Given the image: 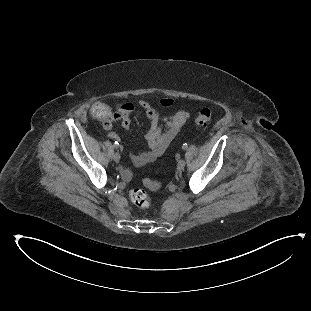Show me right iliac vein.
Listing matches in <instances>:
<instances>
[{"label": "right iliac vein", "instance_id": "obj_1", "mask_svg": "<svg viewBox=\"0 0 311 311\" xmlns=\"http://www.w3.org/2000/svg\"><path fill=\"white\" fill-rule=\"evenodd\" d=\"M113 159H114V161H115L116 163H118V162L120 161V155H119L118 153H115V154L113 155Z\"/></svg>", "mask_w": 311, "mask_h": 311}]
</instances>
